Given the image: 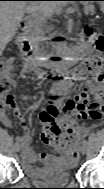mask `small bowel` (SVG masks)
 Returning <instances> with one entry per match:
<instances>
[{
	"mask_svg": "<svg viewBox=\"0 0 104 189\" xmlns=\"http://www.w3.org/2000/svg\"><path fill=\"white\" fill-rule=\"evenodd\" d=\"M88 71V65L82 63L71 73L66 81L57 84L52 91L54 96H63L67 93L74 81H86L85 87L76 94L74 100H71L77 105L78 109L74 112L65 114L57 121L60 129H62L70 143L75 147L72 151L65 152L59 157H50L44 153L35 154L30 146L29 126L23 112L17 106L15 100L11 107L5 108L0 113V119L6 127H12L15 119H18L21 122L23 134L17 138L19 145L21 146L23 163L30 171H36L38 169L33 166V162L37 159H52L58 163H70L78 158V146L81 135L87 131L90 125H96L95 122L101 118V115L99 114L92 115L84 111V108L89 105L101 104L103 99V89L101 85L93 80L87 79L86 75ZM32 72L33 71L30 70L27 65L24 66L21 70L22 79H28ZM53 103L61 105L64 102L62 100H55Z\"/></svg>",
	"mask_w": 104,
	"mask_h": 189,
	"instance_id": "1",
	"label": "small bowel"
}]
</instances>
